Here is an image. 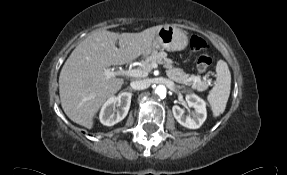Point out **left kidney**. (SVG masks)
Here are the masks:
<instances>
[{"mask_svg": "<svg viewBox=\"0 0 287 175\" xmlns=\"http://www.w3.org/2000/svg\"><path fill=\"white\" fill-rule=\"evenodd\" d=\"M186 102L189 107L194 108V112L190 116L184 115V110L178 105L172 107L173 115L177 122L189 129L199 128L207 117L206 103L203 99L195 94L186 95Z\"/></svg>", "mask_w": 287, "mask_h": 175, "instance_id": "5707ae66", "label": "left kidney"}]
</instances>
